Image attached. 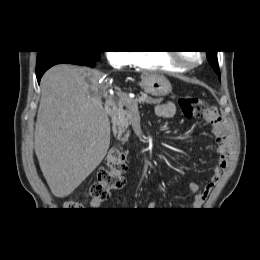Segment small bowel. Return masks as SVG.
Masks as SVG:
<instances>
[{
	"mask_svg": "<svg viewBox=\"0 0 260 260\" xmlns=\"http://www.w3.org/2000/svg\"><path fill=\"white\" fill-rule=\"evenodd\" d=\"M175 105L168 101L162 104H158L155 108L156 115L161 118H171L175 114ZM203 119L208 122L213 129V133L216 137L217 152L219 155L218 162L214 167L213 174L208 182L201 187L195 182H189L188 187L193 193L192 207L200 208L212 189L216 186L224 173L230 158L231 141L229 134V127L226 122L219 116L216 111V115L206 114ZM105 199H92L90 202V208L92 210H99L102 208ZM157 204L155 202L149 203V208H155Z\"/></svg>",
	"mask_w": 260,
	"mask_h": 260,
	"instance_id": "1",
	"label": "small bowel"
}]
</instances>
